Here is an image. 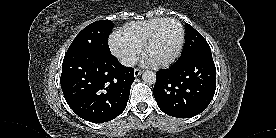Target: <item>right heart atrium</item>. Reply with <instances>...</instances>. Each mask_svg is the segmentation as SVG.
Returning <instances> with one entry per match:
<instances>
[{
	"label": "right heart atrium",
	"instance_id": "right-heart-atrium-1",
	"mask_svg": "<svg viewBox=\"0 0 276 138\" xmlns=\"http://www.w3.org/2000/svg\"><path fill=\"white\" fill-rule=\"evenodd\" d=\"M112 53L126 66L133 65L140 55V50L132 44L114 35L109 42Z\"/></svg>",
	"mask_w": 276,
	"mask_h": 138
}]
</instances>
